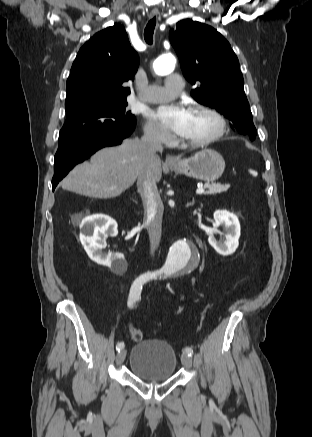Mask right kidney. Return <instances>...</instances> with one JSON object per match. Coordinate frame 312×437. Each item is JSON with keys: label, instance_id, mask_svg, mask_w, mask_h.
Here are the masks:
<instances>
[{"label": "right kidney", "instance_id": "right-kidney-1", "mask_svg": "<svg viewBox=\"0 0 312 437\" xmlns=\"http://www.w3.org/2000/svg\"><path fill=\"white\" fill-rule=\"evenodd\" d=\"M117 234V223L107 215L97 214L86 217L80 224V241L89 258L99 265L112 270L127 269V262L123 256L115 257L102 253L106 247V234Z\"/></svg>", "mask_w": 312, "mask_h": 437}]
</instances>
